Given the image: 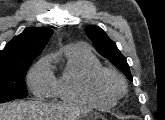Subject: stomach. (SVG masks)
<instances>
[{
    "instance_id": "0dacf381",
    "label": "stomach",
    "mask_w": 165,
    "mask_h": 120,
    "mask_svg": "<svg viewBox=\"0 0 165 120\" xmlns=\"http://www.w3.org/2000/svg\"><path fill=\"white\" fill-rule=\"evenodd\" d=\"M98 118H101L102 120H104V117L101 114L94 111H88V112L83 113L80 116L79 120H96Z\"/></svg>"
}]
</instances>
